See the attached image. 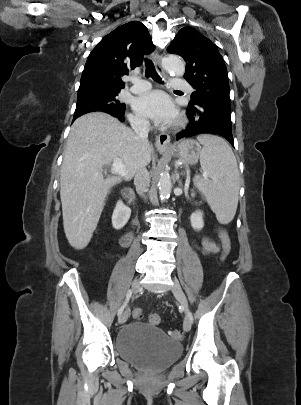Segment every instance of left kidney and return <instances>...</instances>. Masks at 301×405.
Returning a JSON list of instances; mask_svg holds the SVG:
<instances>
[{
	"label": "left kidney",
	"instance_id": "1",
	"mask_svg": "<svg viewBox=\"0 0 301 405\" xmlns=\"http://www.w3.org/2000/svg\"><path fill=\"white\" fill-rule=\"evenodd\" d=\"M190 222L194 230H201L204 226L203 212H201L200 210L193 212L190 216Z\"/></svg>",
	"mask_w": 301,
	"mask_h": 405
}]
</instances>
